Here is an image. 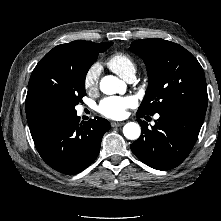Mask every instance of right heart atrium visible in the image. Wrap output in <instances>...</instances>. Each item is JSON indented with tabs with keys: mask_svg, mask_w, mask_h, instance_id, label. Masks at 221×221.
I'll list each match as a JSON object with an SVG mask.
<instances>
[{
	"mask_svg": "<svg viewBox=\"0 0 221 221\" xmlns=\"http://www.w3.org/2000/svg\"><path fill=\"white\" fill-rule=\"evenodd\" d=\"M101 66L98 63L92 64L84 74L83 86L86 91L91 92L97 89Z\"/></svg>",
	"mask_w": 221,
	"mask_h": 221,
	"instance_id": "obj_1",
	"label": "right heart atrium"
}]
</instances>
